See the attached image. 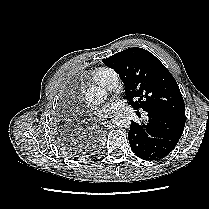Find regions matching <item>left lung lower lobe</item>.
<instances>
[{
	"label": "left lung lower lobe",
	"mask_w": 209,
	"mask_h": 209,
	"mask_svg": "<svg viewBox=\"0 0 209 209\" xmlns=\"http://www.w3.org/2000/svg\"><path fill=\"white\" fill-rule=\"evenodd\" d=\"M148 117L147 124L131 121L128 140L139 158L160 160L177 145L184 130L185 117L167 112H148Z\"/></svg>",
	"instance_id": "left-lung-lower-lobe-1"
}]
</instances>
